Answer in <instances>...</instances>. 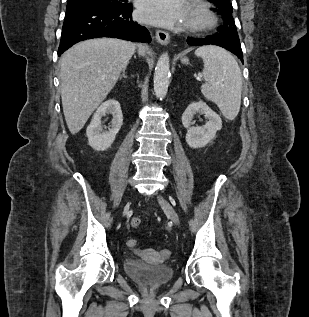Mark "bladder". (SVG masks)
Wrapping results in <instances>:
<instances>
[{"mask_svg": "<svg viewBox=\"0 0 309 317\" xmlns=\"http://www.w3.org/2000/svg\"><path fill=\"white\" fill-rule=\"evenodd\" d=\"M126 274L145 289H155L170 281L174 275L171 267L151 264L137 258L124 262Z\"/></svg>", "mask_w": 309, "mask_h": 317, "instance_id": "1", "label": "bladder"}]
</instances>
